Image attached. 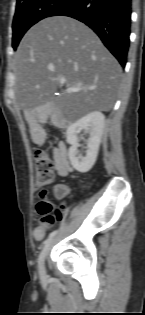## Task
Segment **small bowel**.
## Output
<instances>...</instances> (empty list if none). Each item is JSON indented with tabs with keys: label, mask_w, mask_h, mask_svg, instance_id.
<instances>
[{
	"label": "small bowel",
	"mask_w": 145,
	"mask_h": 315,
	"mask_svg": "<svg viewBox=\"0 0 145 315\" xmlns=\"http://www.w3.org/2000/svg\"><path fill=\"white\" fill-rule=\"evenodd\" d=\"M31 135L34 142L41 143L43 141V130L40 124L36 121L31 124ZM53 161L55 170L59 176L66 177L72 171V167L70 166L68 159L67 147L63 142H59L53 147ZM68 192L69 188L66 185H57L54 188V194L59 199L65 197ZM55 217H59L61 220V215L58 214ZM50 225L51 224H47V228H42V224L38 223L33 232L34 238L36 240H41Z\"/></svg>",
	"instance_id": "c3829d8e"
}]
</instances>
